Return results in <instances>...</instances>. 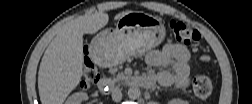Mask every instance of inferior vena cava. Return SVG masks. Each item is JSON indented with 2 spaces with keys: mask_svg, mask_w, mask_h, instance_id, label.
<instances>
[{
  "mask_svg": "<svg viewBox=\"0 0 252 104\" xmlns=\"http://www.w3.org/2000/svg\"><path fill=\"white\" fill-rule=\"evenodd\" d=\"M112 99L115 101V102H120L121 99H122V92L119 88H115L113 91H112Z\"/></svg>",
  "mask_w": 252,
  "mask_h": 104,
  "instance_id": "1",
  "label": "inferior vena cava"
}]
</instances>
